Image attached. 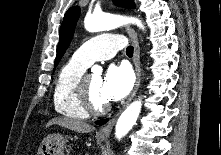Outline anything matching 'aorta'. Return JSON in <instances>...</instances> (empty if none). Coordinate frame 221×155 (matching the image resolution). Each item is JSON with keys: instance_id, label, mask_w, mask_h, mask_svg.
<instances>
[{"instance_id": "762f6f07", "label": "aorta", "mask_w": 221, "mask_h": 155, "mask_svg": "<svg viewBox=\"0 0 221 155\" xmlns=\"http://www.w3.org/2000/svg\"><path fill=\"white\" fill-rule=\"evenodd\" d=\"M124 23H133L139 28L144 29L142 22L137 18H122L111 14L89 15L84 20L85 29L89 32H100L115 29ZM142 102L139 98L122 112L117 120L115 136L118 139L124 137L136 123L141 111Z\"/></svg>"}]
</instances>
